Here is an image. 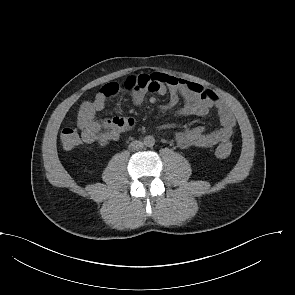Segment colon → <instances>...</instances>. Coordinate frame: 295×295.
I'll return each mask as SVG.
<instances>
[{
	"instance_id": "colon-1",
	"label": "colon",
	"mask_w": 295,
	"mask_h": 295,
	"mask_svg": "<svg viewBox=\"0 0 295 295\" xmlns=\"http://www.w3.org/2000/svg\"><path fill=\"white\" fill-rule=\"evenodd\" d=\"M135 86V80L129 77L122 85L110 83L102 87L100 90L105 96L109 97L119 92L121 89L131 90ZM62 145L65 149L71 150L78 146L81 142V134L75 127H65L60 134ZM232 151V143L227 140L222 142L216 149V154L220 158H225Z\"/></svg>"
}]
</instances>
